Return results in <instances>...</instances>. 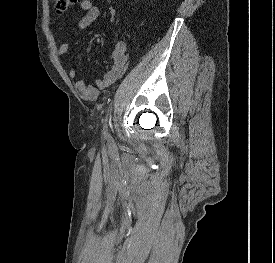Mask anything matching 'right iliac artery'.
Segmentation results:
<instances>
[{
    "label": "right iliac artery",
    "instance_id": "right-iliac-artery-1",
    "mask_svg": "<svg viewBox=\"0 0 275 263\" xmlns=\"http://www.w3.org/2000/svg\"><path fill=\"white\" fill-rule=\"evenodd\" d=\"M105 136H106L107 139L110 138V136H109V134L107 132H105Z\"/></svg>",
    "mask_w": 275,
    "mask_h": 263
}]
</instances>
